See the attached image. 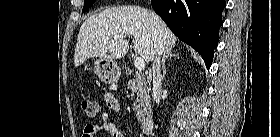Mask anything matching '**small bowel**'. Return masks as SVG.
Returning <instances> with one entry per match:
<instances>
[{
	"mask_svg": "<svg viewBox=\"0 0 280 137\" xmlns=\"http://www.w3.org/2000/svg\"><path fill=\"white\" fill-rule=\"evenodd\" d=\"M105 102L110 111L116 114L119 113L118 100L113 94L108 93L105 97ZM99 131H104L107 133L108 137H124L123 133L115 126V124L109 121L107 113L102 115L101 125L88 124L84 129L83 137H90V135H92L91 137H96V134Z\"/></svg>",
	"mask_w": 280,
	"mask_h": 137,
	"instance_id": "obj_1",
	"label": "small bowel"
}]
</instances>
